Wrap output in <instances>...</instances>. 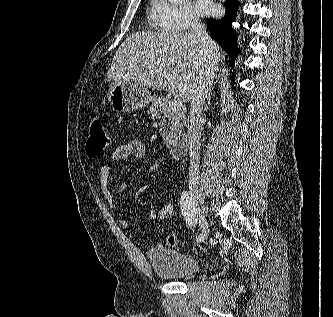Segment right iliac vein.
Here are the masks:
<instances>
[{
	"instance_id": "63e3f726",
	"label": "right iliac vein",
	"mask_w": 333,
	"mask_h": 317,
	"mask_svg": "<svg viewBox=\"0 0 333 317\" xmlns=\"http://www.w3.org/2000/svg\"><path fill=\"white\" fill-rule=\"evenodd\" d=\"M191 199L194 204L195 212L199 219V225H200V230H201L200 235L205 240V239H207V237L209 235V223L207 222V219L205 217V209L199 203V196H198V192L196 190L191 191Z\"/></svg>"
}]
</instances>
